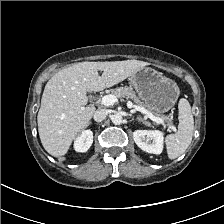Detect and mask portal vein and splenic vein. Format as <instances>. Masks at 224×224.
I'll list each match as a JSON object with an SVG mask.
<instances>
[{
	"label": "portal vein and splenic vein",
	"mask_w": 224,
	"mask_h": 224,
	"mask_svg": "<svg viewBox=\"0 0 224 224\" xmlns=\"http://www.w3.org/2000/svg\"><path fill=\"white\" fill-rule=\"evenodd\" d=\"M117 102V98L113 94L105 95L102 98L98 99L96 101V104H102L105 106H111L114 105ZM127 107L128 108H133L135 111L141 112L142 114L146 115L148 118H150L152 121L158 123V124H163L164 120L155 117L151 112H149L147 109L140 107L138 105L133 104L131 101L127 102Z\"/></svg>",
	"instance_id": "1"
}]
</instances>
